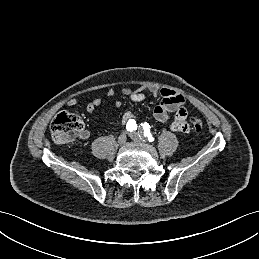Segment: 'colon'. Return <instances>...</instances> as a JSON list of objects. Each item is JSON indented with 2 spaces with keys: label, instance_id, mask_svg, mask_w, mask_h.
<instances>
[{
  "label": "colon",
  "instance_id": "5ec220e1",
  "mask_svg": "<svg viewBox=\"0 0 259 259\" xmlns=\"http://www.w3.org/2000/svg\"><path fill=\"white\" fill-rule=\"evenodd\" d=\"M192 128L199 133L203 129V122L199 118L192 120ZM83 122L80 117L67 112L59 113L51 123V133L54 141L60 145L71 143L82 131Z\"/></svg>",
  "mask_w": 259,
  "mask_h": 259
}]
</instances>
